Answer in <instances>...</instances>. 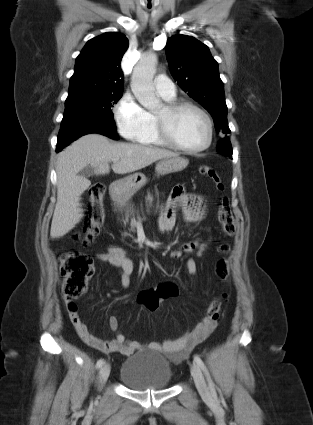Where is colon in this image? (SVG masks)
Returning a JSON list of instances; mask_svg holds the SVG:
<instances>
[{
	"label": "colon",
	"instance_id": "colon-1",
	"mask_svg": "<svg viewBox=\"0 0 313 425\" xmlns=\"http://www.w3.org/2000/svg\"><path fill=\"white\" fill-rule=\"evenodd\" d=\"M199 172L211 179L218 191L225 189L221 178L214 168L204 165L199 168ZM105 190L106 187L101 182L93 184L89 190L91 201L90 212L83 232L78 235L84 244L92 242L99 234L103 225L105 218L103 196ZM217 218L222 234L227 238L232 237L236 230L235 222L230 211L229 199L225 196L220 197L217 201ZM229 250L228 243L223 242L217 246V251L221 254L226 255ZM205 252V248H201L198 251V255L202 256ZM59 260L60 271L63 277V295L67 300H74L86 291L88 280L94 272L93 260L88 254L73 250L61 253ZM215 275L219 281L227 282L229 277V261L226 257L217 260L215 264ZM177 294V286L172 282H165L154 288L142 291L138 295V303L148 311L153 312L158 308L161 301ZM226 296V294L223 295L224 298ZM220 305V298H215L207 310V317L212 322L216 323L219 318Z\"/></svg>",
	"mask_w": 313,
	"mask_h": 425
}]
</instances>
